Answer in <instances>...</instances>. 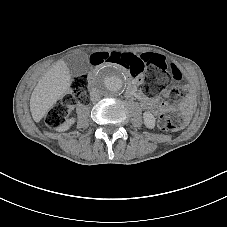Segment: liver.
Instances as JSON below:
<instances>
[{
  "instance_id": "6515ba94",
  "label": "liver",
  "mask_w": 227,
  "mask_h": 227,
  "mask_svg": "<svg viewBox=\"0 0 227 227\" xmlns=\"http://www.w3.org/2000/svg\"><path fill=\"white\" fill-rule=\"evenodd\" d=\"M70 86V72L64 61H58L40 79L30 98V110L35 122H39L66 93Z\"/></svg>"
}]
</instances>
